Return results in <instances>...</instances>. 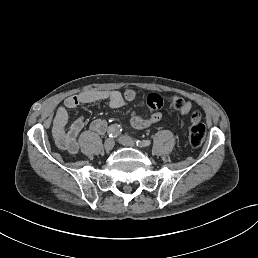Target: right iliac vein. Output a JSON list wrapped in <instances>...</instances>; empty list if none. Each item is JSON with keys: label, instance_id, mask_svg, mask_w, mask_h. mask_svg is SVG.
<instances>
[{"label": "right iliac vein", "instance_id": "1", "mask_svg": "<svg viewBox=\"0 0 258 258\" xmlns=\"http://www.w3.org/2000/svg\"><path fill=\"white\" fill-rule=\"evenodd\" d=\"M115 145V142L113 139L108 138L104 141L103 146L106 151H111Z\"/></svg>", "mask_w": 258, "mask_h": 258}]
</instances>
